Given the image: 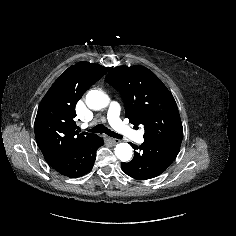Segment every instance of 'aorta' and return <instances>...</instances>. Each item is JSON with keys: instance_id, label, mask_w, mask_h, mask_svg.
<instances>
[{"instance_id": "762f6f07", "label": "aorta", "mask_w": 236, "mask_h": 236, "mask_svg": "<svg viewBox=\"0 0 236 236\" xmlns=\"http://www.w3.org/2000/svg\"><path fill=\"white\" fill-rule=\"evenodd\" d=\"M108 102V96L100 90H91L86 95V104L93 110L104 108ZM114 151L116 157L122 162H127L132 158V147L128 143L117 144Z\"/></svg>"}]
</instances>
